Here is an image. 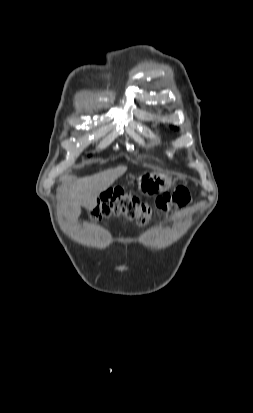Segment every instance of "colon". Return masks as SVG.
I'll list each match as a JSON object with an SVG mask.
<instances>
[{"mask_svg":"<svg viewBox=\"0 0 253 413\" xmlns=\"http://www.w3.org/2000/svg\"><path fill=\"white\" fill-rule=\"evenodd\" d=\"M190 201V194L184 187L177 188L173 193L159 196L155 205L151 206L135 196L124 193L121 190H112L103 194L92 214L96 218H105L123 214L135 219L139 224L149 223L155 211L166 213L173 206H185Z\"/></svg>","mask_w":253,"mask_h":413,"instance_id":"obj_1","label":"colon"}]
</instances>
